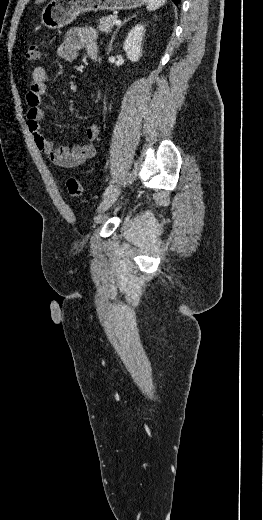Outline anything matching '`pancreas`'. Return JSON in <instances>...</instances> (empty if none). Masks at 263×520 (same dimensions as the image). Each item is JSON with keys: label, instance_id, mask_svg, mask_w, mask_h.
I'll return each mask as SVG.
<instances>
[{"label": "pancreas", "instance_id": "1", "mask_svg": "<svg viewBox=\"0 0 263 520\" xmlns=\"http://www.w3.org/2000/svg\"><path fill=\"white\" fill-rule=\"evenodd\" d=\"M117 19L118 17L116 15L103 16L101 19H99L98 29L102 32H110L115 26L114 21Z\"/></svg>", "mask_w": 263, "mask_h": 520}]
</instances>
